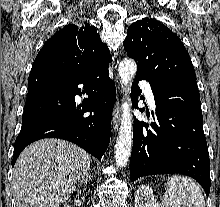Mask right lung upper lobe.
<instances>
[{
	"instance_id": "1",
	"label": "right lung upper lobe",
	"mask_w": 220,
	"mask_h": 207,
	"mask_svg": "<svg viewBox=\"0 0 220 207\" xmlns=\"http://www.w3.org/2000/svg\"><path fill=\"white\" fill-rule=\"evenodd\" d=\"M111 60L109 49L95 27L88 23L68 24L45 42L30 73L79 74L98 62Z\"/></svg>"
}]
</instances>
